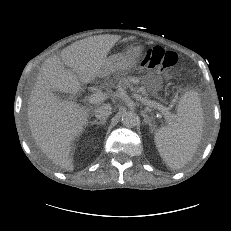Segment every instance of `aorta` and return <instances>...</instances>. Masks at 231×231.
<instances>
[{"label":"aorta","mask_w":231,"mask_h":231,"mask_svg":"<svg viewBox=\"0 0 231 231\" xmlns=\"http://www.w3.org/2000/svg\"><path fill=\"white\" fill-rule=\"evenodd\" d=\"M121 121L126 127H134L138 122V116L135 112L128 111L122 115Z\"/></svg>","instance_id":"aorta-1"}]
</instances>
